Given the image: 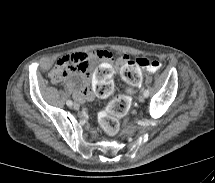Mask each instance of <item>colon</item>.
Returning <instances> with one entry per match:
<instances>
[{
    "instance_id": "5ec220e1",
    "label": "colon",
    "mask_w": 215,
    "mask_h": 183,
    "mask_svg": "<svg viewBox=\"0 0 215 183\" xmlns=\"http://www.w3.org/2000/svg\"><path fill=\"white\" fill-rule=\"evenodd\" d=\"M161 66L159 61L153 59L137 58L129 60L121 69V77L130 87L135 86L141 81V68L156 72ZM70 72L71 69L68 65L57 62L56 67L53 70V78L54 80H59L69 75ZM129 106L130 102L126 94L115 96L110 101L106 109L99 116V122L104 132L113 135L118 131V119L128 111Z\"/></svg>"
}]
</instances>
